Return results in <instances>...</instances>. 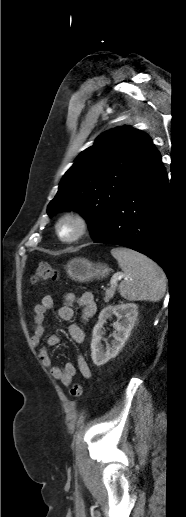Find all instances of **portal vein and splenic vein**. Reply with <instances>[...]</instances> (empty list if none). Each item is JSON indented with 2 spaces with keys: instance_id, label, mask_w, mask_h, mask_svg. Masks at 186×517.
<instances>
[{
  "instance_id": "18ae733b",
  "label": "portal vein and splenic vein",
  "mask_w": 186,
  "mask_h": 517,
  "mask_svg": "<svg viewBox=\"0 0 186 517\" xmlns=\"http://www.w3.org/2000/svg\"><path fill=\"white\" fill-rule=\"evenodd\" d=\"M123 278L126 279V276L124 274L113 275L110 281L111 287H115L117 285V282Z\"/></svg>"
}]
</instances>
